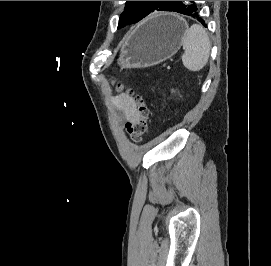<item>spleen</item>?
Masks as SVG:
<instances>
[{
    "label": "spleen",
    "mask_w": 271,
    "mask_h": 266,
    "mask_svg": "<svg viewBox=\"0 0 271 266\" xmlns=\"http://www.w3.org/2000/svg\"><path fill=\"white\" fill-rule=\"evenodd\" d=\"M182 45L183 65L190 71L201 70L208 62L211 49V42L205 28L199 24H193L186 30Z\"/></svg>",
    "instance_id": "spleen-1"
}]
</instances>
